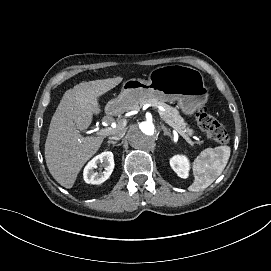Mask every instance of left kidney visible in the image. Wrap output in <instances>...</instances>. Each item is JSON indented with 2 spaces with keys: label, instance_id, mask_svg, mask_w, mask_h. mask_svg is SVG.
<instances>
[{
  "label": "left kidney",
  "instance_id": "1",
  "mask_svg": "<svg viewBox=\"0 0 271 271\" xmlns=\"http://www.w3.org/2000/svg\"><path fill=\"white\" fill-rule=\"evenodd\" d=\"M171 168L181 178H186L188 175V162L185 157L175 156L170 160Z\"/></svg>",
  "mask_w": 271,
  "mask_h": 271
}]
</instances>
